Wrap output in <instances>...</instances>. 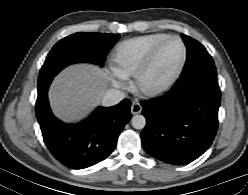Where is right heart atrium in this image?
I'll use <instances>...</instances> for the list:
<instances>
[{
    "label": "right heart atrium",
    "mask_w": 248,
    "mask_h": 195,
    "mask_svg": "<svg viewBox=\"0 0 248 195\" xmlns=\"http://www.w3.org/2000/svg\"><path fill=\"white\" fill-rule=\"evenodd\" d=\"M122 85V80L119 77L114 78V86L120 87Z\"/></svg>",
    "instance_id": "right-heart-atrium-1"
}]
</instances>
